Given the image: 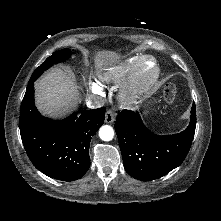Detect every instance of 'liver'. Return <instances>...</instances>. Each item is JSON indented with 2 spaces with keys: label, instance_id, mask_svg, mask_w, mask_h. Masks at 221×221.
Segmentation results:
<instances>
[{
  "label": "liver",
  "instance_id": "obj_1",
  "mask_svg": "<svg viewBox=\"0 0 221 221\" xmlns=\"http://www.w3.org/2000/svg\"><path fill=\"white\" fill-rule=\"evenodd\" d=\"M114 58V53L102 51L97 54L96 64L106 65ZM35 90L37 108L51 117L66 114L80 102L75 76L68 69H51L36 83Z\"/></svg>",
  "mask_w": 221,
  "mask_h": 221
}]
</instances>
